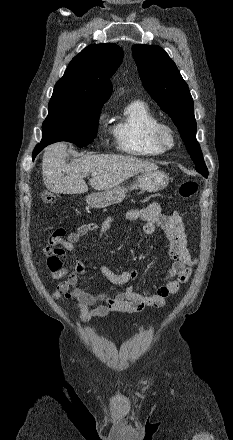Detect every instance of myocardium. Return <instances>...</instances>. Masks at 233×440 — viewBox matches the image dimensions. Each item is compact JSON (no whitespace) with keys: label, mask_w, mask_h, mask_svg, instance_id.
I'll use <instances>...</instances> for the list:
<instances>
[{"label":"myocardium","mask_w":233,"mask_h":440,"mask_svg":"<svg viewBox=\"0 0 233 440\" xmlns=\"http://www.w3.org/2000/svg\"><path fill=\"white\" fill-rule=\"evenodd\" d=\"M150 140L162 151H167L175 145V132L170 125L159 122L151 128Z\"/></svg>","instance_id":"obj_1"}]
</instances>
